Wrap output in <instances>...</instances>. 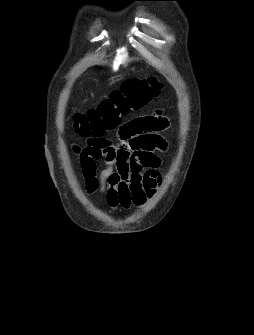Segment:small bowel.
<instances>
[{"label":"small bowel","instance_id":"c3829d8e","mask_svg":"<svg viewBox=\"0 0 254 335\" xmlns=\"http://www.w3.org/2000/svg\"><path fill=\"white\" fill-rule=\"evenodd\" d=\"M167 126L169 119H163L162 113H151L150 117L118 124V143L75 146L87 191L100 193L113 209L142 206L161 180L159 153L166 152L169 143L160 132ZM101 159L104 167L98 172L97 162Z\"/></svg>","mask_w":254,"mask_h":335}]
</instances>
